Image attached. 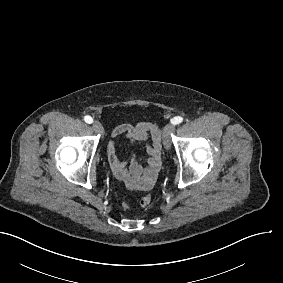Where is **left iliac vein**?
Returning <instances> with one entry per match:
<instances>
[{"label": "left iliac vein", "mask_w": 283, "mask_h": 283, "mask_svg": "<svg viewBox=\"0 0 283 283\" xmlns=\"http://www.w3.org/2000/svg\"><path fill=\"white\" fill-rule=\"evenodd\" d=\"M175 131V126L172 123L167 124L162 133L163 145L166 150H169L171 147L170 134Z\"/></svg>", "instance_id": "left-iliac-vein-1"}]
</instances>
